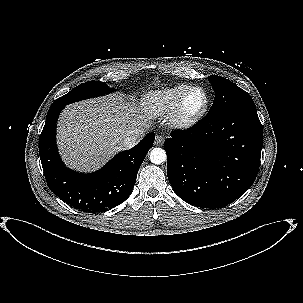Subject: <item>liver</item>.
<instances>
[{"instance_id": "6515ba94", "label": "liver", "mask_w": 303, "mask_h": 303, "mask_svg": "<svg viewBox=\"0 0 303 303\" xmlns=\"http://www.w3.org/2000/svg\"><path fill=\"white\" fill-rule=\"evenodd\" d=\"M135 102L112 94L71 104L62 112L57 128L58 146L66 165L90 171L118 151L129 131L149 128Z\"/></svg>"}]
</instances>
